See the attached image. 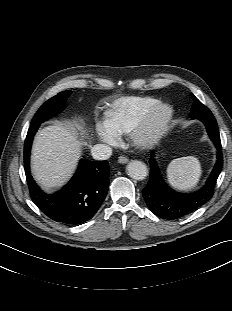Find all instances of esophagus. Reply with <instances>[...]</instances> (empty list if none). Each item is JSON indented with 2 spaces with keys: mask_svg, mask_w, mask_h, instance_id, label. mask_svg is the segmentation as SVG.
<instances>
[{
  "mask_svg": "<svg viewBox=\"0 0 232 311\" xmlns=\"http://www.w3.org/2000/svg\"><path fill=\"white\" fill-rule=\"evenodd\" d=\"M118 162H119L120 164H125V163L128 162V158L125 157V156H120V157L118 158Z\"/></svg>",
  "mask_w": 232,
  "mask_h": 311,
  "instance_id": "obj_1",
  "label": "esophagus"
}]
</instances>
